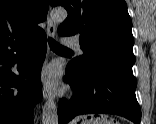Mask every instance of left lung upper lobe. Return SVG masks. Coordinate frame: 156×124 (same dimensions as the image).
I'll return each mask as SVG.
<instances>
[{
	"label": "left lung upper lobe",
	"mask_w": 156,
	"mask_h": 124,
	"mask_svg": "<svg viewBox=\"0 0 156 124\" xmlns=\"http://www.w3.org/2000/svg\"><path fill=\"white\" fill-rule=\"evenodd\" d=\"M50 4L63 6L68 12L58 33L79 36L84 54L68 63L75 73L115 66L133 74L132 21L124 0H50Z\"/></svg>",
	"instance_id": "1"
}]
</instances>
